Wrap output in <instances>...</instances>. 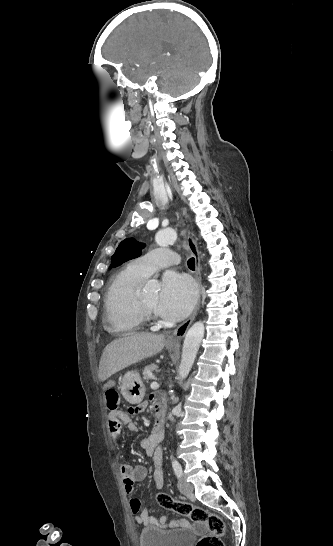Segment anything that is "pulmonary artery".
<instances>
[{"label": "pulmonary artery", "mask_w": 333, "mask_h": 546, "mask_svg": "<svg viewBox=\"0 0 333 546\" xmlns=\"http://www.w3.org/2000/svg\"><path fill=\"white\" fill-rule=\"evenodd\" d=\"M179 261L180 259L176 252L164 248H158L134 259L131 262V266L142 276L147 278L153 272L170 265H176L179 263Z\"/></svg>", "instance_id": "pulmonary-artery-1"}]
</instances>
